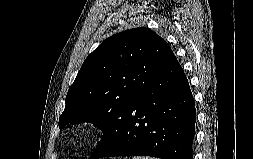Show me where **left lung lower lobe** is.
I'll return each mask as SVG.
<instances>
[{"label":"left lung lower lobe","mask_w":253,"mask_h":159,"mask_svg":"<svg viewBox=\"0 0 253 159\" xmlns=\"http://www.w3.org/2000/svg\"><path fill=\"white\" fill-rule=\"evenodd\" d=\"M196 110L188 80L176 57L125 107L114 132L90 159L153 156L193 159Z\"/></svg>","instance_id":"0a47b994"}]
</instances>
